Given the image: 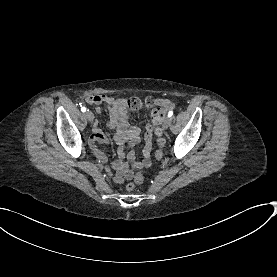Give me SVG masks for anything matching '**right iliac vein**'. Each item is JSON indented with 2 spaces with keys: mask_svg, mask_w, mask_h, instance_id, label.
I'll list each match as a JSON object with an SVG mask.
<instances>
[{
  "mask_svg": "<svg viewBox=\"0 0 277 277\" xmlns=\"http://www.w3.org/2000/svg\"><path fill=\"white\" fill-rule=\"evenodd\" d=\"M86 118L88 119L89 122H93L94 120V114L91 111L86 112Z\"/></svg>",
  "mask_w": 277,
  "mask_h": 277,
  "instance_id": "right-iliac-vein-1",
  "label": "right iliac vein"
}]
</instances>
